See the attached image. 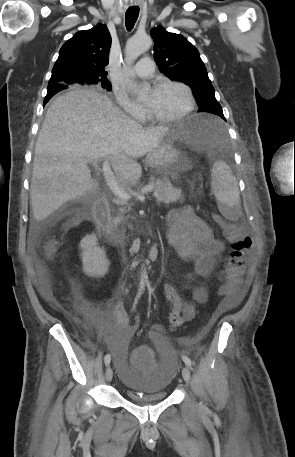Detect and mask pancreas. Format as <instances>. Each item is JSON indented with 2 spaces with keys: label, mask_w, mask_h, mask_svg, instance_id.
Returning <instances> with one entry per match:
<instances>
[{
  "label": "pancreas",
  "mask_w": 295,
  "mask_h": 457,
  "mask_svg": "<svg viewBox=\"0 0 295 457\" xmlns=\"http://www.w3.org/2000/svg\"><path fill=\"white\" fill-rule=\"evenodd\" d=\"M150 184L154 185V196L158 203L169 204L182 198V191L179 188H174L168 179L151 181ZM126 204L124 201L121 202V205ZM125 211V208H119V214L113 219L115 226L123 222L122 214Z\"/></svg>",
  "instance_id": "obj_1"
}]
</instances>
